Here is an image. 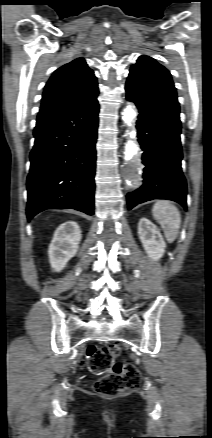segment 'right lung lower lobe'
I'll return each mask as SVG.
<instances>
[{"label":"right lung lower lobe","instance_id":"obj_1","mask_svg":"<svg viewBox=\"0 0 212 438\" xmlns=\"http://www.w3.org/2000/svg\"><path fill=\"white\" fill-rule=\"evenodd\" d=\"M99 104L40 112L27 177V218L46 209L94 212V176Z\"/></svg>","mask_w":212,"mask_h":438}]
</instances>
